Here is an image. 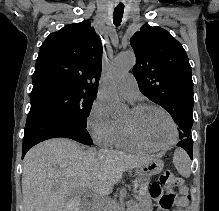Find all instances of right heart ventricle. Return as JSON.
<instances>
[{"label": "right heart ventricle", "mask_w": 219, "mask_h": 211, "mask_svg": "<svg viewBox=\"0 0 219 211\" xmlns=\"http://www.w3.org/2000/svg\"><path fill=\"white\" fill-rule=\"evenodd\" d=\"M118 127H117V134L115 137L114 144L121 149L125 150H131V151H146L147 149L140 146L136 142L132 140V138L129 136L125 125L121 121H117Z\"/></svg>", "instance_id": "e07e8e85"}]
</instances>
